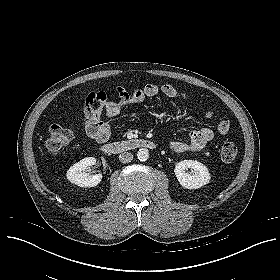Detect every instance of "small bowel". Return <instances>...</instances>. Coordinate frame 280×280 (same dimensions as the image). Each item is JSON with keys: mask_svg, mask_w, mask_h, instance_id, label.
I'll return each mask as SVG.
<instances>
[{"mask_svg": "<svg viewBox=\"0 0 280 280\" xmlns=\"http://www.w3.org/2000/svg\"><path fill=\"white\" fill-rule=\"evenodd\" d=\"M162 93L169 98H186L187 95L172 85H158L156 83H147L144 87L128 93L124 88H118L119 101L109 100L105 92H92L87 95L82 113L84 116V128L89 132V128L94 126L103 132L98 139L101 141L109 137L110 127L106 120L102 119L105 113L108 118H114L121 112L122 108L128 105H138L144 102L146 97H154ZM205 116L211 117L212 114L207 112ZM230 130V125L225 127L219 123L217 131L221 135H226ZM214 138V131L209 127H202L190 132L187 141H173L170 148L175 153L193 151L203 148Z\"/></svg>", "mask_w": 280, "mask_h": 280, "instance_id": "1", "label": "small bowel"}]
</instances>
